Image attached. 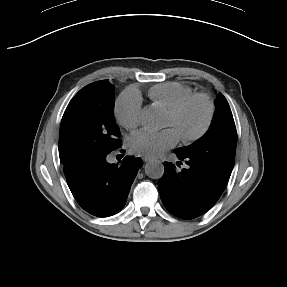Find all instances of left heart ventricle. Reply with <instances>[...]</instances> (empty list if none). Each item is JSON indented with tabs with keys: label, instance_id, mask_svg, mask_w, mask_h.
Listing matches in <instances>:
<instances>
[{
	"label": "left heart ventricle",
	"instance_id": "left-heart-ventricle-1",
	"mask_svg": "<svg viewBox=\"0 0 287 287\" xmlns=\"http://www.w3.org/2000/svg\"><path fill=\"white\" fill-rule=\"evenodd\" d=\"M205 115V106L200 101H195L177 117L167 114L164 119V127L173 128L179 136L193 134L202 127Z\"/></svg>",
	"mask_w": 287,
	"mask_h": 287
}]
</instances>
